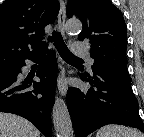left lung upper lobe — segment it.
Segmentation results:
<instances>
[{
    "mask_svg": "<svg viewBox=\"0 0 144 137\" xmlns=\"http://www.w3.org/2000/svg\"><path fill=\"white\" fill-rule=\"evenodd\" d=\"M67 17L74 14L83 24L80 41H88L92 71H108L131 79L127 71V28L123 15L110 0H69ZM87 75V74H85Z\"/></svg>",
    "mask_w": 144,
    "mask_h": 137,
    "instance_id": "1",
    "label": "left lung upper lobe"
}]
</instances>
